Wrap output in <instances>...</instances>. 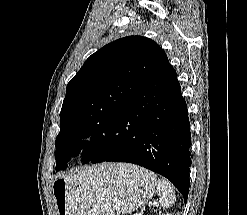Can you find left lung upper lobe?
<instances>
[{
	"label": "left lung upper lobe",
	"mask_w": 247,
	"mask_h": 215,
	"mask_svg": "<svg viewBox=\"0 0 247 215\" xmlns=\"http://www.w3.org/2000/svg\"><path fill=\"white\" fill-rule=\"evenodd\" d=\"M165 58L153 40L128 36L105 45L85 61L66 88L55 142L57 171L81 148L85 158L103 147L107 133ZM89 136L90 142L79 144Z\"/></svg>",
	"instance_id": "left-lung-upper-lobe-1"
}]
</instances>
